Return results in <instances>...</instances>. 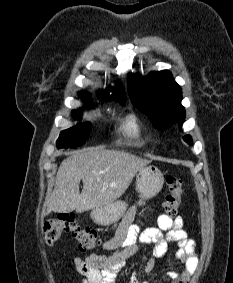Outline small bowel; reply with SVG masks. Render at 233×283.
I'll return each mask as SVG.
<instances>
[{
	"instance_id": "1",
	"label": "small bowel",
	"mask_w": 233,
	"mask_h": 283,
	"mask_svg": "<svg viewBox=\"0 0 233 283\" xmlns=\"http://www.w3.org/2000/svg\"><path fill=\"white\" fill-rule=\"evenodd\" d=\"M137 207L131 206L123 216L112 238L102 245L104 250L115 252L109 256L89 254L85 258H76L77 271L83 276L82 283H115L116 277L125 262L134 256L142 246L152 245V258L144 264V271L150 272L156 258L164 257L168 245H176L175 260L183 266L181 271L171 270L166 277L172 283H186L198 266L195 254V242L189 239L183 230L181 216L170 217L161 214L157 217V227L141 230L134 223ZM121 248V250H117ZM130 283H146L138 274H134Z\"/></svg>"
}]
</instances>
